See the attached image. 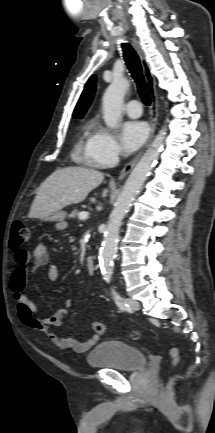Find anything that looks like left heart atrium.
<instances>
[{"label": "left heart atrium", "mask_w": 215, "mask_h": 433, "mask_svg": "<svg viewBox=\"0 0 215 433\" xmlns=\"http://www.w3.org/2000/svg\"><path fill=\"white\" fill-rule=\"evenodd\" d=\"M148 126L142 121H128L122 125L121 140L124 150L131 153L138 149L146 140Z\"/></svg>", "instance_id": "39dd6f15"}]
</instances>
